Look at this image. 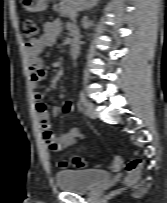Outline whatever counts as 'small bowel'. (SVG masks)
<instances>
[{
	"label": "small bowel",
	"mask_w": 167,
	"mask_h": 203,
	"mask_svg": "<svg viewBox=\"0 0 167 203\" xmlns=\"http://www.w3.org/2000/svg\"><path fill=\"white\" fill-rule=\"evenodd\" d=\"M62 23L59 20L46 22L43 26V33L30 45H27V56L29 60V73L32 84L36 86L38 82L46 75L47 66L40 57L41 52L48 47H53L61 34ZM70 34L73 36V40L77 38L76 28L72 25L67 26ZM35 112L38 117V122L42 130V135L45 140L46 147L55 153L72 146L77 140L83 137L82 132L76 127H70L67 132L55 136L51 130L50 116L68 117L74 109V102L68 100L61 108L58 105L49 106L43 101V96L40 92H35ZM117 160L112 164L113 168H119L115 166Z\"/></svg>",
	"instance_id": "small-bowel-1"
}]
</instances>
